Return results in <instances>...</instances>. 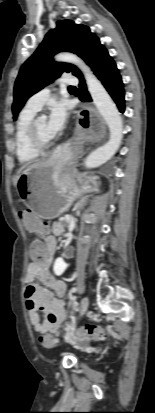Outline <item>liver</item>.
Wrapping results in <instances>:
<instances>
[{
    "mask_svg": "<svg viewBox=\"0 0 155 413\" xmlns=\"http://www.w3.org/2000/svg\"><path fill=\"white\" fill-rule=\"evenodd\" d=\"M27 165H28V164L22 166V167L19 169L17 176L14 178V185H15V186H17V181H18L19 174L21 173V171L23 170V168H24L25 166H27Z\"/></svg>",
    "mask_w": 155,
    "mask_h": 413,
    "instance_id": "6515ba94",
    "label": "liver"
}]
</instances>
